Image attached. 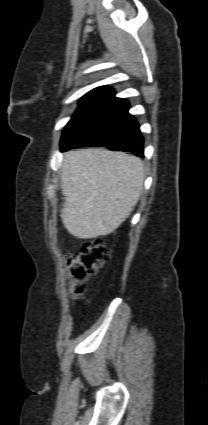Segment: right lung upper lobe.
<instances>
[{"instance_id": "1", "label": "right lung upper lobe", "mask_w": 208, "mask_h": 425, "mask_svg": "<svg viewBox=\"0 0 208 425\" xmlns=\"http://www.w3.org/2000/svg\"><path fill=\"white\" fill-rule=\"evenodd\" d=\"M107 88H108L107 86H100V87L94 88L93 90L89 91L88 93L100 94L101 92H103Z\"/></svg>"}]
</instances>
